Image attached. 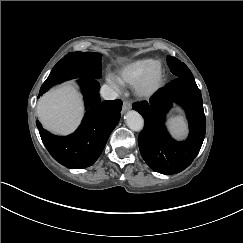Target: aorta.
Instances as JSON below:
<instances>
[{
	"mask_svg": "<svg viewBox=\"0 0 243 243\" xmlns=\"http://www.w3.org/2000/svg\"><path fill=\"white\" fill-rule=\"evenodd\" d=\"M127 127L134 132H141L144 129V119L136 111H130L125 116Z\"/></svg>",
	"mask_w": 243,
	"mask_h": 243,
	"instance_id": "aorta-1",
	"label": "aorta"
}]
</instances>
